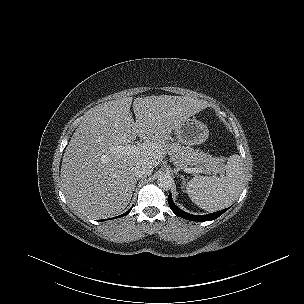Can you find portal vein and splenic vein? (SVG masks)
I'll list each match as a JSON object with an SVG mask.
<instances>
[{"mask_svg": "<svg viewBox=\"0 0 304 304\" xmlns=\"http://www.w3.org/2000/svg\"><path fill=\"white\" fill-rule=\"evenodd\" d=\"M136 148H137V146L128 144L126 146H117L116 148H114V150H116L120 153H128V152H131V151L135 150ZM184 172H186V173H202L203 171H202V169L185 168Z\"/></svg>", "mask_w": 304, "mask_h": 304, "instance_id": "18ae733b", "label": "portal vein and splenic vein"}]
</instances>
